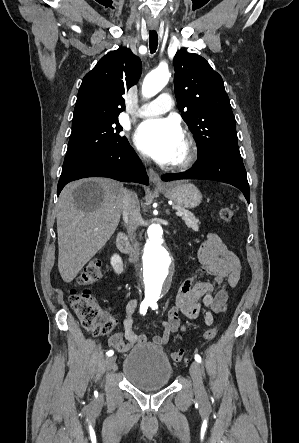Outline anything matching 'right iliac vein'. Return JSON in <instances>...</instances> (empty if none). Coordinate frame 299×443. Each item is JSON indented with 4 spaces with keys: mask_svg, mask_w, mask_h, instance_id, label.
I'll return each instance as SVG.
<instances>
[{
    "mask_svg": "<svg viewBox=\"0 0 299 443\" xmlns=\"http://www.w3.org/2000/svg\"><path fill=\"white\" fill-rule=\"evenodd\" d=\"M115 361H116V357L115 356L107 358L106 361H105V364H104L105 370H110L113 367Z\"/></svg>",
    "mask_w": 299,
    "mask_h": 443,
    "instance_id": "obj_1",
    "label": "right iliac vein"
}]
</instances>
